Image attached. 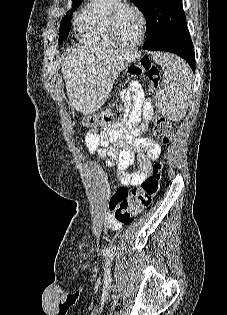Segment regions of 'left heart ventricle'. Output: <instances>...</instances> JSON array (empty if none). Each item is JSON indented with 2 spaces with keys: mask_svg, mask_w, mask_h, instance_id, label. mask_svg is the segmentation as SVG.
Instances as JSON below:
<instances>
[{
  "mask_svg": "<svg viewBox=\"0 0 227 315\" xmlns=\"http://www.w3.org/2000/svg\"><path fill=\"white\" fill-rule=\"evenodd\" d=\"M141 21L138 14L131 8H123L114 25L117 41L130 45L135 43L140 34Z\"/></svg>",
  "mask_w": 227,
  "mask_h": 315,
  "instance_id": "1",
  "label": "left heart ventricle"
}]
</instances>
